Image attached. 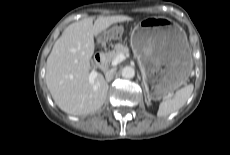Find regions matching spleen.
Instances as JSON below:
<instances>
[{"label": "spleen", "instance_id": "1", "mask_svg": "<svg viewBox=\"0 0 230 155\" xmlns=\"http://www.w3.org/2000/svg\"><path fill=\"white\" fill-rule=\"evenodd\" d=\"M193 85H188L176 91L174 96L166 97L159 105L157 115L159 117L168 116L178 111L187 102L193 92Z\"/></svg>", "mask_w": 230, "mask_h": 155}]
</instances>
